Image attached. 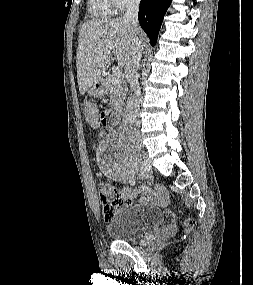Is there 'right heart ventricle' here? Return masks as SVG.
Listing matches in <instances>:
<instances>
[{
    "mask_svg": "<svg viewBox=\"0 0 253 285\" xmlns=\"http://www.w3.org/2000/svg\"><path fill=\"white\" fill-rule=\"evenodd\" d=\"M89 10L93 16L98 18H109L117 13L112 0H89Z\"/></svg>",
    "mask_w": 253,
    "mask_h": 285,
    "instance_id": "e07e8e85",
    "label": "right heart ventricle"
}]
</instances>
